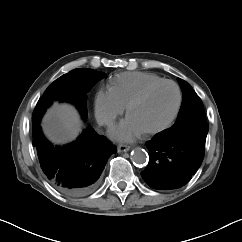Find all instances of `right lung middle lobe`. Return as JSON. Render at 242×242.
<instances>
[{"mask_svg": "<svg viewBox=\"0 0 242 242\" xmlns=\"http://www.w3.org/2000/svg\"><path fill=\"white\" fill-rule=\"evenodd\" d=\"M103 77V73L78 68L55 80L39 99L32 116V123L40 121L53 101H67L76 105L83 118L87 116L86 94Z\"/></svg>", "mask_w": 242, "mask_h": 242, "instance_id": "right-lung-middle-lobe-1", "label": "right lung middle lobe"}]
</instances>
